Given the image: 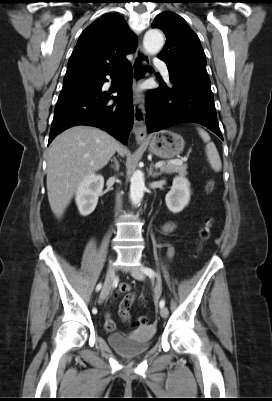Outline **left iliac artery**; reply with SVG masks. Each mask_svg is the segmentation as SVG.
<instances>
[{"instance_id":"obj_1","label":"left iliac artery","mask_w":272,"mask_h":401,"mask_svg":"<svg viewBox=\"0 0 272 401\" xmlns=\"http://www.w3.org/2000/svg\"><path fill=\"white\" fill-rule=\"evenodd\" d=\"M142 271H143L147 276H149L150 278H153V277L157 276L156 272H155L153 269H151V268L143 267V268H142ZM159 305H160V307H164L165 301H164V300H161Z\"/></svg>"}]
</instances>
